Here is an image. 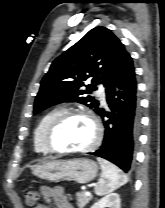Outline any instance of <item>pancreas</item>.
Listing matches in <instances>:
<instances>
[{
  "mask_svg": "<svg viewBox=\"0 0 165 208\" xmlns=\"http://www.w3.org/2000/svg\"><path fill=\"white\" fill-rule=\"evenodd\" d=\"M76 197H77V205L79 208H83L92 199V195L87 196L85 195V192H77Z\"/></svg>",
  "mask_w": 165,
  "mask_h": 208,
  "instance_id": "obj_1",
  "label": "pancreas"
}]
</instances>
